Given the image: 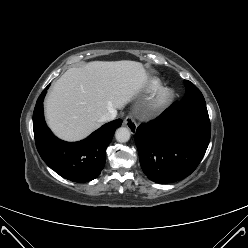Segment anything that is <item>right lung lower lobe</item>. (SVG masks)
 <instances>
[{
	"instance_id": "right-lung-lower-lobe-1",
	"label": "right lung lower lobe",
	"mask_w": 248,
	"mask_h": 248,
	"mask_svg": "<svg viewBox=\"0 0 248 248\" xmlns=\"http://www.w3.org/2000/svg\"><path fill=\"white\" fill-rule=\"evenodd\" d=\"M47 89L48 86L39 96L33 113L35 142L41 158L68 180L87 182L95 179L104 168L105 150L122 120L103 125L82 141H62L52 134L44 120L43 100Z\"/></svg>"
}]
</instances>
